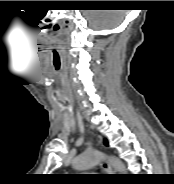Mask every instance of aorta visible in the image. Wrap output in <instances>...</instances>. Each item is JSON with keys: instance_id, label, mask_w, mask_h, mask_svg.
Instances as JSON below:
<instances>
[{"instance_id": "obj_1", "label": "aorta", "mask_w": 174, "mask_h": 184, "mask_svg": "<svg viewBox=\"0 0 174 184\" xmlns=\"http://www.w3.org/2000/svg\"><path fill=\"white\" fill-rule=\"evenodd\" d=\"M103 157V154L99 151L92 150L85 152L81 155H79L75 160L73 161V167L76 170H85L87 168H90L94 165H96L101 158ZM110 163L114 167L116 171L124 172L125 166L124 164L115 157H110Z\"/></svg>"}]
</instances>
